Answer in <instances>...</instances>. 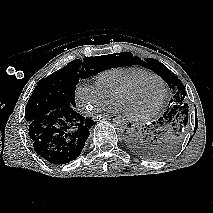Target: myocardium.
Instances as JSON below:
<instances>
[{
	"mask_svg": "<svg viewBox=\"0 0 213 213\" xmlns=\"http://www.w3.org/2000/svg\"><path fill=\"white\" fill-rule=\"evenodd\" d=\"M148 77H153L156 78L160 81V83L162 84V88H163V95L162 98L160 100V102L150 111H148L147 113H144L142 115H130V114H126L127 117L133 121H144V120H148L150 118H152L153 116H155L160 109L162 108V106L164 105L167 96H168V88H167V84L165 82V80L159 76L156 73L153 72H149V73H145L142 75H139L137 77H135L134 79H132L131 81H129L128 83H126L125 85H123L122 87H120L113 95V101L116 102L117 98L126 93L127 91L131 90L132 88H134L138 83H140L142 80H144L145 78Z\"/></svg>",
	"mask_w": 213,
	"mask_h": 213,
	"instance_id": "obj_1",
	"label": "myocardium"
}]
</instances>
